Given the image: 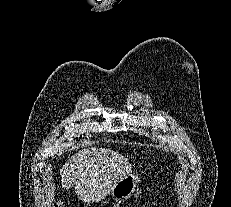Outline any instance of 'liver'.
<instances>
[{
    "mask_svg": "<svg viewBox=\"0 0 231 207\" xmlns=\"http://www.w3.org/2000/svg\"><path fill=\"white\" fill-rule=\"evenodd\" d=\"M128 160L105 148H84L60 169L62 188L75 186L80 200L97 202L110 194L115 184L130 173Z\"/></svg>",
    "mask_w": 231,
    "mask_h": 207,
    "instance_id": "1",
    "label": "liver"
}]
</instances>
